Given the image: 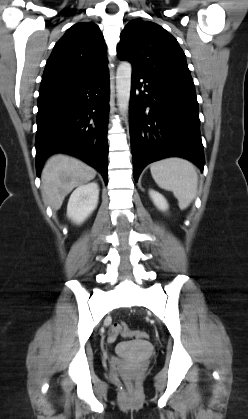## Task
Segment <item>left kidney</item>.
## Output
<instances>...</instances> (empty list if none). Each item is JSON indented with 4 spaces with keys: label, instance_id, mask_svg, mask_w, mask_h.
Masks as SVG:
<instances>
[{
    "label": "left kidney",
    "instance_id": "obj_1",
    "mask_svg": "<svg viewBox=\"0 0 248 419\" xmlns=\"http://www.w3.org/2000/svg\"><path fill=\"white\" fill-rule=\"evenodd\" d=\"M149 195L154 203V205L161 211H166L168 209V203L165 197L155 190H150Z\"/></svg>",
    "mask_w": 248,
    "mask_h": 419
}]
</instances>
